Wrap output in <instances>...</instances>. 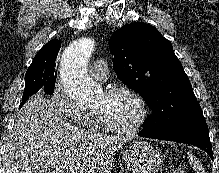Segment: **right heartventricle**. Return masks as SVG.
Segmentation results:
<instances>
[{
	"label": "right heart ventricle",
	"instance_id": "obj_1",
	"mask_svg": "<svg viewBox=\"0 0 219 173\" xmlns=\"http://www.w3.org/2000/svg\"><path fill=\"white\" fill-rule=\"evenodd\" d=\"M96 123H97V119H96V117L94 116V125H93V126H95Z\"/></svg>",
	"mask_w": 219,
	"mask_h": 173
}]
</instances>
